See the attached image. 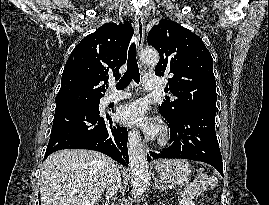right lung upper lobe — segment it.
Returning a JSON list of instances; mask_svg holds the SVG:
<instances>
[{
    "instance_id": "right-lung-upper-lobe-1",
    "label": "right lung upper lobe",
    "mask_w": 269,
    "mask_h": 205,
    "mask_svg": "<svg viewBox=\"0 0 269 205\" xmlns=\"http://www.w3.org/2000/svg\"><path fill=\"white\" fill-rule=\"evenodd\" d=\"M132 34L129 22L106 23L82 39L64 67L56 108L100 101L108 76L120 77Z\"/></svg>"
}]
</instances>
